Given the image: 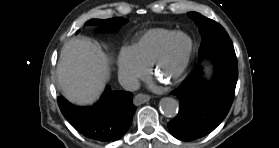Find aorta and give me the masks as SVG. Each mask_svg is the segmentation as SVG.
Returning <instances> with one entry per match:
<instances>
[{
	"instance_id": "1",
	"label": "aorta",
	"mask_w": 279,
	"mask_h": 148,
	"mask_svg": "<svg viewBox=\"0 0 279 148\" xmlns=\"http://www.w3.org/2000/svg\"><path fill=\"white\" fill-rule=\"evenodd\" d=\"M159 108L163 115L169 118H173L178 113L179 103L172 97H164L159 102Z\"/></svg>"
}]
</instances>
